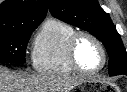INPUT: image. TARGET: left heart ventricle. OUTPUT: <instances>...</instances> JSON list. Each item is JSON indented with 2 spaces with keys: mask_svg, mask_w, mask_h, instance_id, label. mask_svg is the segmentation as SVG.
I'll list each match as a JSON object with an SVG mask.
<instances>
[{
  "mask_svg": "<svg viewBox=\"0 0 127 92\" xmlns=\"http://www.w3.org/2000/svg\"><path fill=\"white\" fill-rule=\"evenodd\" d=\"M76 57L79 65L86 70H95L102 64L100 49L87 37H83L78 41Z\"/></svg>",
  "mask_w": 127,
  "mask_h": 92,
  "instance_id": "left-heart-ventricle-1",
  "label": "left heart ventricle"
}]
</instances>
